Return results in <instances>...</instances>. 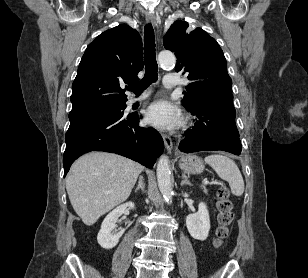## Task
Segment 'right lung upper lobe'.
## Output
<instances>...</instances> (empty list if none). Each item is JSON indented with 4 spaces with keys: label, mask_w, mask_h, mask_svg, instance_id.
<instances>
[{
    "label": "right lung upper lobe",
    "mask_w": 308,
    "mask_h": 278,
    "mask_svg": "<svg viewBox=\"0 0 308 278\" xmlns=\"http://www.w3.org/2000/svg\"><path fill=\"white\" fill-rule=\"evenodd\" d=\"M143 67L142 40L136 30L121 24L100 34L87 46L79 64L69 117L125 104L121 86L138 80Z\"/></svg>",
    "instance_id": "cb5924a9"
}]
</instances>
